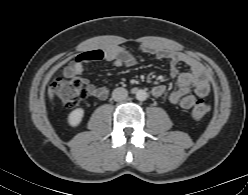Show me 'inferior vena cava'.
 Listing matches in <instances>:
<instances>
[{"mask_svg":"<svg viewBox=\"0 0 248 195\" xmlns=\"http://www.w3.org/2000/svg\"><path fill=\"white\" fill-rule=\"evenodd\" d=\"M127 96H128V91L122 87L116 88L112 92V97L117 102L125 100Z\"/></svg>","mask_w":248,"mask_h":195,"instance_id":"inferior-vena-cava-1","label":"inferior vena cava"}]
</instances>
